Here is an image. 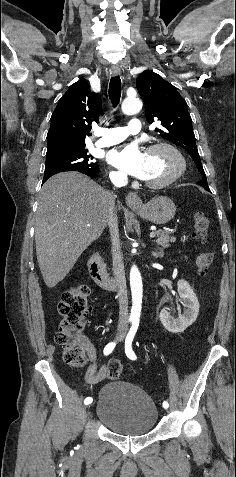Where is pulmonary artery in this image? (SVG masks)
<instances>
[{
    "mask_svg": "<svg viewBox=\"0 0 236 477\" xmlns=\"http://www.w3.org/2000/svg\"><path fill=\"white\" fill-rule=\"evenodd\" d=\"M142 130L141 121L137 118H133L129 121L128 125L125 127L117 128H100L97 131V134L100 135V138L97 139L96 144L98 146H111L122 142L130 134L139 133Z\"/></svg>",
    "mask_w": 236,
    "mask_h": 477,
    "instance_id": "obj_1",
    "label": "pulmonary artery"
}]
</instances>
